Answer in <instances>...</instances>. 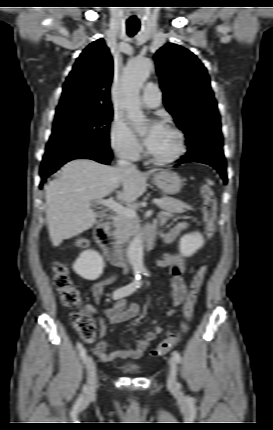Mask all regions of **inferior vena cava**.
Masks as SVG:
<instances>
[{"instance_id":"602c4592","label":"inferior vena cava","mask_w":273,"mask_h":430,"mask_svg":"<svg viewBox=\"0 0 273 430\" xmlns=\"http://www.w3.org/2000/svg\"><path fill=\"white\" fill-rule=\"evenodd\" d=\"M118 165L121 168H129V169H136V166L130 163L129 161L120 159L118 160Z\"/></svg>"}]
</instances>
